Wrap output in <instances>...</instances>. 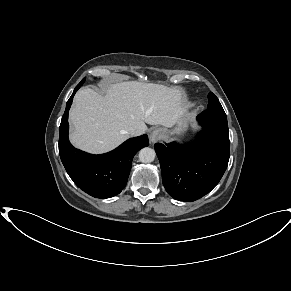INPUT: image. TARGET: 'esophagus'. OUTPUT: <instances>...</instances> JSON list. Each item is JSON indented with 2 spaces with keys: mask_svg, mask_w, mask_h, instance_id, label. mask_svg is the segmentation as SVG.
<instances>
[{
  "mask_svg": "<svg viewBox=\"0 0 291 291\" xmlns=\"http://www.w3.org/2000/svg\"><path fill=\"white\" fill-rule=\"evenodd\" d=\"M164 135V131L162 129H155L151 132L149 136V140L151 143H155L160 140Z\"/></svg>",
  "mask_w": 291,
  "mask_h": 291,
  "instance_id": "obj_1",
  "label": "esophagus"
}]
</instances>
